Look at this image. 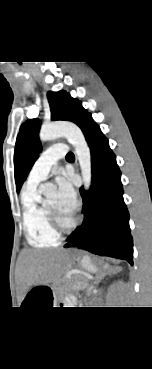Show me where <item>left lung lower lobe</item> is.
<instances>
[{
  "label": "left lung lower lobe",
  "instance_id": "0a47b994",
  "mask_svg": "<svg viewBox=\"0 0 152 369\" xmlns=\"http://www.w3.org/2000/svg\"><path fill=\"white\" fill-rule=\"evenodd\" d=\"M80 128L91 151L92 184L87 193L80 188L84 221L64 247L124 259L132 265L133 239L116 156L91 115Z\"/></svg>",
  "mask_w": 152,
  "mask_h": 369
}]
</instances>
